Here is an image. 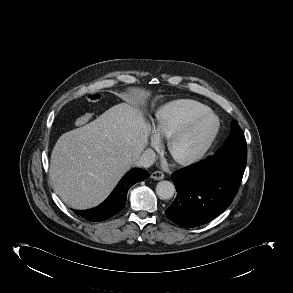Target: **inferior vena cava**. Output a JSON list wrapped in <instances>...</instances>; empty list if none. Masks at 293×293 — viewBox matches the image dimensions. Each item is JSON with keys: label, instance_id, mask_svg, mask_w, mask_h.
I'll return each instance as SVG.
<instances>
[{"label": "inferior vena cava", "instance_id": "1", "mask_svg": "<svg viewBox=\"0 0 293 293\" xmlns=\"http://www.w3.org/2000/svg\"><path fill=\"white\" fill-rule=\"evenodd\" d=\"M155 152L152 149H146L135 161L137 167L148 168L155 162Z\"/></svg>", "mask_w": 293, "mask_h": 293}]
</instances>
